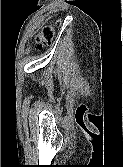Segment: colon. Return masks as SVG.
I'll return each mask as SVG.
<instances>
[{
  "label": "colon",
  "mask_w": 123,
  "mask_h": 167,
  "mask_svg": "<svg viewBox=\"0 0 123 167\" xmlns=\"http://www.w3.org/2000/svg\"><path fill=\"white\" fill-rule=\"evenodd\" d=\"M58 23H59V21H56L54 24H48L42 28L41 32L39 33V35L36 39L37 47H42V46L49 44L53 41V39L55 37L56 25Z\"/></svg>",
  "instance_id": "5ec220e1"
}]
</instances>
